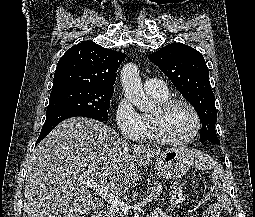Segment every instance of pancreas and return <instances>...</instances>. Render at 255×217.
<instances>
[{
  "label": "pancreas",
  "instance_id": "cf45deb5",
  "mask_svg": "<svg viewBox=\"0 0 255 217\" xmlns=\"http://www.w3.org/2000/svg\"><path fill=\"white\" fill-rule=\"evenodd\" d=\"M162 190H163L162 183L155 182L154 186L151 187V192L149 194V197H151V199H157L162 193ZM106 213H107L106 215L107 217H125L123 213H121L120 211L114 208H108Z\"/></svg>",
  "mask_w": 255,
  "mask_h": 217
}]
</instances>
